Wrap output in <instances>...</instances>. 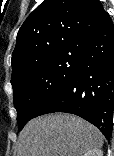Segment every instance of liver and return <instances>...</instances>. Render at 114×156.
Here are the masks:
<instances>
[{
    "instance_id": "6515ba94",
    "label": "liver",
    "mask_w": 114,
    "mask_h": 156,
    "mask_svg": "<svg viewBox=\"0 0 114 156\" xmlns=\"http://www.w3.org/2000/svg\"><path fill=\"white\" fill-rule=\"evenodd\" d=\"M103 135L92 124L70 114H49L29 121L21 131L17 156H82L101 149Z\"/></svg>"
}]
</instances>
